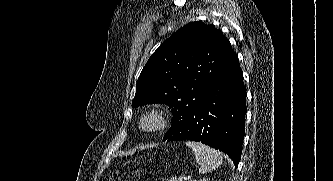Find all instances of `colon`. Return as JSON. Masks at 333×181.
Returning a JSON list of instances; mask_svg holds the SVG:
<instances>
[{
  "label": "colon",
  "mask_w": 333,
  "mask_h": 181,
  "mask_svg": "<svg viewBox=\"0 0 333 181\" xmlns=\"http://www.w3.org/2000/svg\"><path fill=\"white\" fill-rule=\"evenodd\" d=\"M139 172H140V169H139V168H137V169H135V170L133 171V175H138V174H139Z\"/></svg>",
  "instance_id": "1"
}]
</instances>
